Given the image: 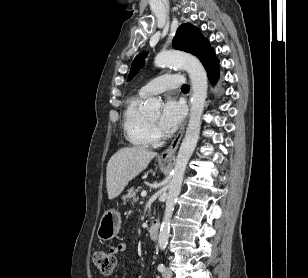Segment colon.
Instances as JSON below:
<instances>
[{
    "instance_id": "colon-1",
    "label": "colon",
    "mask_w": 308,
    "mask_h": 278,
    "mask_svg": "<svg viewBox=\"0 0 308 278\" xmlns=\"http://www.w3.org/2000/svg\"><path fill=\"white\" fill-rule=\"evenodd\" d=\"M93 262L97 270L103 275H110L116 265V255L110 250L97 251L93 256Z\"/></svg>"
}]
</instances>
